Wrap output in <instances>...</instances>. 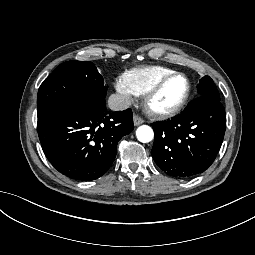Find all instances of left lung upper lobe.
Wrapping results in <instances>:
<instances>
[{
    "label": "left lung upper lobe",
    "mask_w": 255,
    "mask_h": 255,
    "mask_svg": "<svg viewBox=\"0 0 255 255\" xmlns=\"http://www.w3.org/2000/svg\"><path fill=\"white\" fill-rule=\"evenodd\" d=\"M197 89L200 96H207L220 101V95L217 90V87L209 76H204L200 80Z\"/></svg>",
    "instance_id": "5c2ea615"
}]
</instances>
